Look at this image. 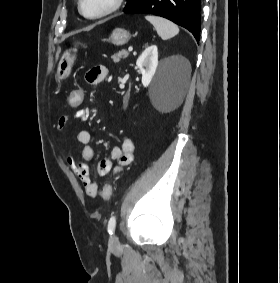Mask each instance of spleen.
I'll list each match as a JSON object with an SVG mask.
<instances>
[{"label":"spleen","mask_w":280,"mask_h":283,"mask_svg":"<svg viewBox=\"0 0 280 283\" xmlns=\"http://www.w3.org/2000/svg\"><path fill=\"white\" fill-rule=\"evenodd\" d=\"M145 18L154 26L163 40L170 39L179 33L178 26L168 19L153 15H147Z\"/></svg>","instance_id":"1"}]
</instances>
